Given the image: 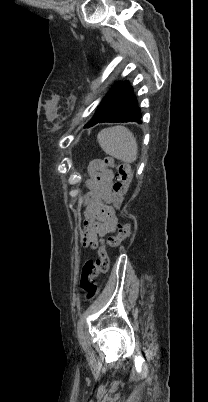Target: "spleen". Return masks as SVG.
<instances>
[{"label": "spleen", "mask_w": 208, "mask_h": 402, "mask_svg": "<svg viewBox=\"0 0 208 402\" xmlns=\"http://www.w3.org/2000/svg\"><path fill=\"white\" fill-rule=\"evenodd\" d=\"M98 144L102 150L117 158L125 164H132L138 158V146L136 138L132 132L124 126H114V128H105L97 136Z\"/></svg>", "instance_id": "3e777b00"}]
</instances>
